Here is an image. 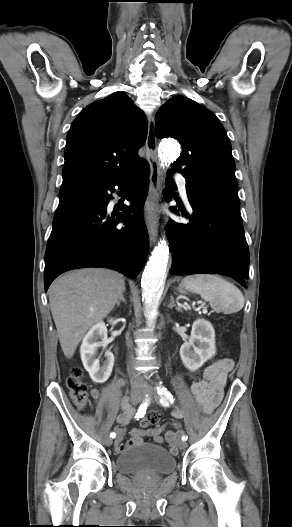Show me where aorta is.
Wrapping results in <instances>:
<instances>
[{
  "label": "aorta",
  "instance_id": "aorta-1",
  "mask_svg": "<svg viewBox=\"0 0 292 527\" xmlns=\"http://www.w3.org/2000/svg\"><path fill=\"white\" fill-rule=\"evenodd\" d=\"M160 155L165 163H171L180 155V146L176 141L166 140L160 145ZM169 250L166 242L161 241L155 247L142 274V297L147 312V322L153 324L162 295V286L166 274Z\"/></svg>",
  "mask_w": 292,
  "mask_h": 527
}]
</instances>
